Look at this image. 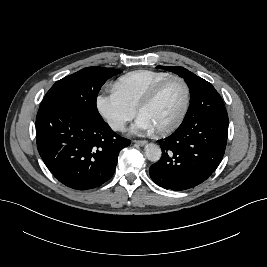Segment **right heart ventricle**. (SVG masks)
Returning a JSON list of instances; mask_svg holds the SVG:
<instances>
[{"label": "right heart ventricle", "mask_w": 267, "mask_h": 267, "mask_svg": "<svg viewBox=\"0 0 267 267\" xmlns=\"http://www.w3.org/2000/svg\"><path fill=\"white\" fill-rule=\"evenodd\" d=\"M170 75L167 72L153 70L132 71L119 77L113 85V90L136 109L149 90Z\"/></svg>", "instance_id": "1"}]
</instances>
